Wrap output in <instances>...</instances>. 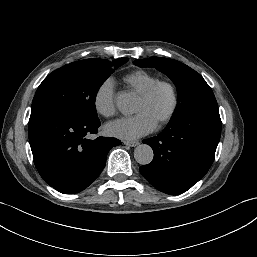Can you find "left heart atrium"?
I'll use <instances>...</instances> for the list:
<instances>
[{"label": "left heart atrium", "mask_w": 257, "mask_h": 257, "mask_svg": "<svg viewBox=\"0 0 257 257\" xmlns=\"http://www.w3.org/2000/svg\"><path fill=\"white\" fill-rule=\"evenodd\" d=\"M156 122L146 113L141 112L132 117L121 118L106 125L108 135L124 139L134 140L152 132Z\"/></svg>", "instance_id": "left-heart-atrium-1"}]
</instances>
